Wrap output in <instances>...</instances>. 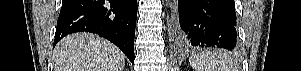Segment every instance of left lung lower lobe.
Returning a JSON list of instances; mask_svg holds the SVG:
<instances>
[{
    "instance_id": "1",
    "label": "left lung lower lobe",
    "mask_w": 301,
    "mask_h": 71,
    "mask_svg": "<svg viewBox=\"0 0 301 71\" xmlns=\"http://www.w3.org/2000/svg\"><path fill=\"white\" fill-rule=\"evenodd\" d=\"M171 9L177 43L228 51L237 48L234 0H175Z\"/></svg>"
}]
</instances>
